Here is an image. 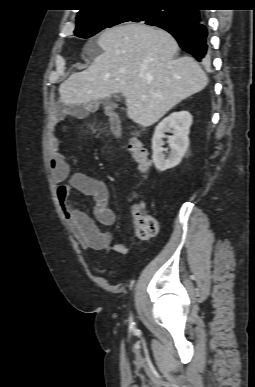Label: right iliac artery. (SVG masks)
<instances>
[{
    "instance_id": "1",
    "label": "right iliac artery",
    "mask_w": 255,
    "mask_h": 387,
    "mask_svg": "<svg viewBox=\"0 0 255 387\" xmlns=\"http://www.w3.org/2000/svg\"><path fill=\"white\" fill-rule=\"evenodd\" d=\"M130 329H134V322L132 321V317H130Z\"/></svg>"
}]
</instances>
